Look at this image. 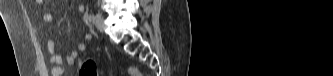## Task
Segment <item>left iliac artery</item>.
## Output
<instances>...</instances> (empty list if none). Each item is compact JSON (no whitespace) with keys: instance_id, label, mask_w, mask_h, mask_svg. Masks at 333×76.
I'll list each match as a JSON object with an SVG mask.
<instances>
[{"instance_id":"44dca946","label":"left iliac artery","mask_w":333,"mask_h":76,"mask_svg":"<svg viewBox=\"0 0 333 76\" xmlns=\"http://www.w3.org/2000/svg\"><path fill=\"white\" fill-rule=\"evenodd\" d=\"M94 18H95V17H94V15H93V14H90V15L88 16V20H89V21H93V20H94Z\"/></svg>"}]
</instances>
